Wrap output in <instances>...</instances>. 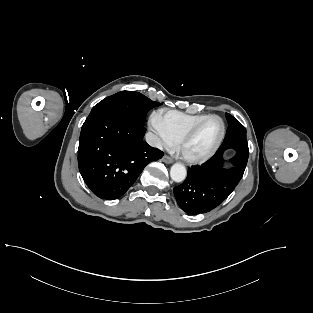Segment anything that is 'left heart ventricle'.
Here are the masks:
<instances>
[{"mask_svg": "<svg viewBox=\"0 0 313 313\" xmlns=\"http://www.w3.org/2000/svg\"><path fill=\"white\" fill-rule=\"evenodd\" d=\"M221 133V123L216 118L205 121L185 143L183 152L192 157L207 154L216 144Z\"/></svg>", "mask_w": 313, "mask_h": 313, "instance_id": "left-heart-ventricle-1", "label": "left heart ventricle"}]
</instances>
